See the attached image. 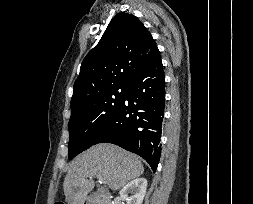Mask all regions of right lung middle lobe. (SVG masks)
<instances>
[{
  "label": "right lung middle lobe",
  "mask_w": 253,
  "mask_h": 204,
  "mask_svg": "<svg viewBox=\"0 0 253 204\" xmlns=\"http://www.w3.org/2000/svg\"><path fill=\"white\" fill-rule=\"evenodd\" d=\"M125 95L126 87H117L71 108L69 159L94 144L122 105Z\"/></svg>",
  "instance_id": "1"
}]
</instances>
